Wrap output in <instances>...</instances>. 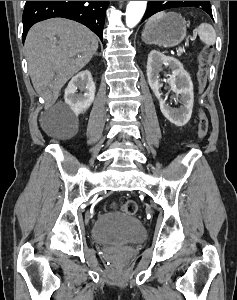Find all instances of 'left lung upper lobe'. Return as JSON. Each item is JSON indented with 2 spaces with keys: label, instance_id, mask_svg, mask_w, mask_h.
Returning <instances> with one entry per match:
<instances>
[{
  "label": "left lung upper lobe",
  "instance_id": "5c2ea615",
  "mask_svg": "<svg viewBox=\"0 0 237 300\" xmlns=\"http://www.w3.org/2000/svg\"><path fill=\"white\" fill-rule=\"evenodd\" d=\"M178 7L200 8L207 13L211 10L210 1H148V6L142 22L157 12Z\"/></svg>",
  "mask_w": 237,
  "mask_h": 300
}]
</instances>
